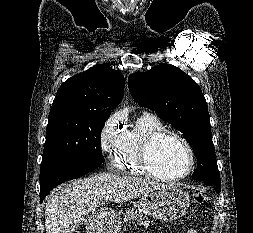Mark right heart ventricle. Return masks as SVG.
Here are the masks:
<instances>
[{
    "instance_id": "obj_1",
    "label": "right heart ventricle",
    "mask_w": 253,
    "mask_h": 233,
    "mask_svg": "<svg viewBox=\"0 0 253 233\" xmlns=\"http://www.w3.org/2000/svg\"><path fill=\"white\" fill-rule=\"evenodd\" d=\"M163 129L164 125L156 115H140L131 126L123 129L114 148L113 167L133 175H148L140 163L141 148L148 136Z\"/></svg>"
}]
</instances>
